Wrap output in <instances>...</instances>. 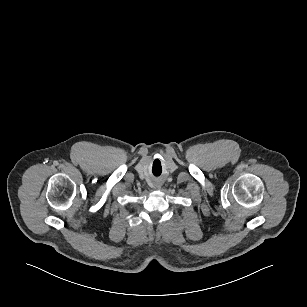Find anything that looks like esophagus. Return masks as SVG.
<instances>
[{"instance_id": "1", "label": "esophagus", "mask_w": 307, "mask_h": 307, "mask_svg": "<svg viewBox=\"0 0 307 307\" xmlns=\"http://www.w3.org/2000/svg\"><path fill=\"white\" fill-rule=\"evenodd\" d=\"M161 186H162V184H161V183H157V184H155V188H156V189H160V188H161Z\"/></svg>"}]
</instances>
